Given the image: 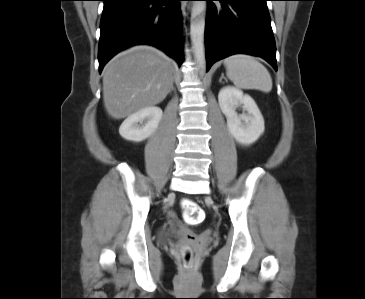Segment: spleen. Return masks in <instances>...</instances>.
<instances>
[{
    "mask_svg": "<svg viewBox=\"0 0 365 299\" xmlns=\"http://www.w3.org/2000/svg\"><path fill=\"white\" fill-rule=\"evenodd\" d=\"M224 65L227 77L237 88L271 91V76L266 67L254 57L244 54L232 55L224 60Z\"/></svg>",
    "mask_w": 365,
    "mask_h": 299,
    "instance_id": "3e777b00",
    "label": "spleen"
}]
</instances>
